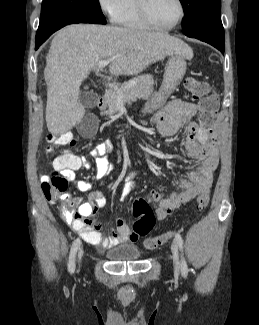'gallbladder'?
Wrapping results in <instances>:
<instances>
[{
    "label": "gallbladder",
    "instance_id": "obj_1",
    "mask_svg": "<svg viewBox=\"0 0 259 325\" xmlns=\"http://www.w3.org/2000/svg\"><path fill=\"white\" fill-rule=\"evenodd\" d=\"M98 101V96L94 92H81L79 96V102L85 109H92L96 106ZM98 127V118L91 115H84L82 122L77 126L80 131V136L84 139H93L95 135V130Z\"/></svg>",
    "mask_w": 259,
    "mask_h": 325
}]
</instances>
